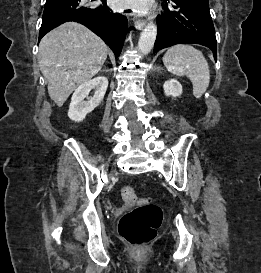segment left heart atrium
Listing matches in <instances>:
<instances>
[{
  "mask_svg": "<svg viewBox=\"0 0 261 273\" xmlns=\"http://www.w3.org/2000/svg\"><path fill=\"white\" fill-rule=\"evenodd\" d=\"M113 7L117 9L130 8L136 12H144L148 6V0H111Z\"/></svg>",
  "mask_w": 261,
  "mask_h": 273,
  "instance_id": "1",
  "label": "left heart atrium"
}]
</instances>
